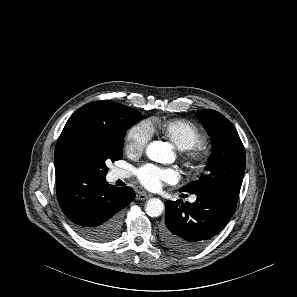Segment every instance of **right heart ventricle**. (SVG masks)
<instances>
[{"label":"right heart ventricle","instance_id":"right-heart-ventricle-1","mask_svg":"<svg viewBox=\"0 0 297 297\" xmlns=\"http://www.w3.org/2000/svg\"><path fill=\"white\" fill-rule=\"evenodd\" d=\"M149 125L152 131L158 129L163 136L183 151L201 145L205 139L202 130L195 123L186 119H172L160 125L151 121Z\"/></svg>","mask_w":297,"mask_h":297}]
</instances>
